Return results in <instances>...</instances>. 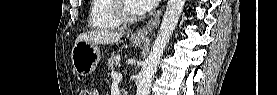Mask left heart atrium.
<instances>
[{
	"mask_svg": "<svg viewBox=\"0 0 277 95\" xmlns=\"http://www.w3.org/2000/svg\"><path fill=\"white\" fill-rule=\"evenodd\" d=\"M160 0H137L140 8L144 11L152 10L157 6Z\"/></svg>",
	"mask_w": 277,
	"mask_h": 95,
	"instance_id": "39dd6f15",
	"label": "left heart atrium"
}]
</instances>
